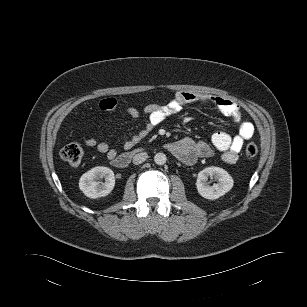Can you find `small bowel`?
I'll use <instances>...</instances> for the list:
<instances>
[{
    "instance_id": "obj_1",
    "label": "small bowel",
    "mask_w": 307,
    "mask_h": 307,
    "mask_svg": "<svg viewBox=\"0 0 307 307\" xmlns=\"http://www.w3.org/2000/svg\"><path fill=\"white\" fill-rule=\"evenodd\" d=\"M187 105L216 108L238 124V133L231 136L225 131H217L212 135L210 143L182 138L166 144V149L186 165L194 164L199 158L210 157L214 150L222 153L224 162L228 164L236 163L244 142L254 134L253 124L243 119V114L235 102L213 95L189 91L176 93L174 98L166 104H148L142 111L133 106L126 107L125 113L127 116L137 119L141 114H144L147 121L142 129L123 143L124 149L129 150L134 147L167 117L179 113ZM99 106L104 112H113L117 108V101L114 98L105 99L100 102ZM83 142L86 146L96 148L98 152L105 154L111 162L118 156L116 149L111 148L106 141H98L95 137L84 134Z\"/></svg>"
}]
</instances>
